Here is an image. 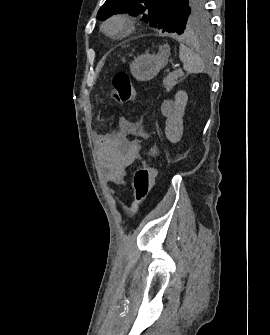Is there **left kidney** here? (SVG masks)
<instances>
[{"label":"left kidney","mask_w":270,"mask_h":335,"mask_svg":"<svg viewBox=\"0 0 270 335\" xmlns=\"http://www.w3.org/2000/svg\"><path fill=\"white\" fill-rule=\"evenodd\" d=\"M188 96L186 92L180 90L175 94L174 110L168 116L165 124V134L167 140L172 144L180 142L183 136V116L187 104Z\"/></svg>","instance_id":"5707ae66"}]
</instances>
